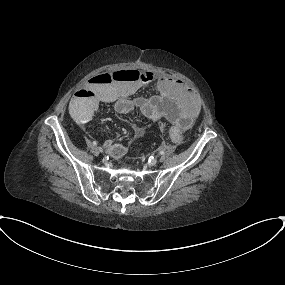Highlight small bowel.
<instances>
[{
  "label": "small bowel",
  "instance_id": "c3829d8e",
  "mask_svg": "<svg viewBox=\"0 0 285 285\" xmlns=\"http://www.w3.org/2000/svg\"><path fill=\"white\" fill-rule=\"evenodd\" d=\"M127 71L118 69L94 76L87 86L77 90L69 102V112L79 124H87L98 110L101 102L112 104L118 114H129L138 110L146 118L159 122L167 119L172 123L169 128L170 138L174 143L184 140V131L189 129L199 114V104L186 84L170 76L155 77L150 72H140L141 76L149 79H139L129 82L118 79L115 74ZM110 79V83L104 80ZM140 76V77H141ZM153 83L156 94L149 97L132 98L141 87ZM141 137L136 130L132 134V141ZM107 151L115 158L125 155L127 147L115 143L110 139L103 142Z\"/></svg>",
  "mask_w": 285,
  "mask_h": 285
}]
</instances>
